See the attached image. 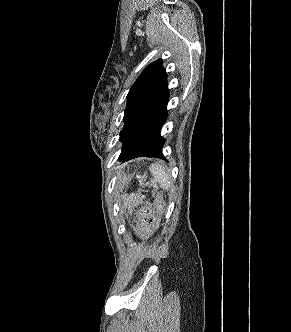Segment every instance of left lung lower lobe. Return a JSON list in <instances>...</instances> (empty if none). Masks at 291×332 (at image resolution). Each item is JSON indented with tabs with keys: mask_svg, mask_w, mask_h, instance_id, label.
I'll return each instance as SVG.
<instances>
[{
	"mask_svg": "<svg viewBox=\"0 0 291 332\" xmlns=\"http://www.w3.org/2000/svg\"><path fill=\"white\" fill-rule=\"evenodd\" d=\"M168 99L169 91L165 88L147 103L140 118L138 130L133 134L129 143L123 146L119 159L124 161L142 155L163 158L164 140L160 131L167 119Z\"/></svg>",
	"mask_w": 291,
	"mask_h": 332,
	"instance_id": "obj_1",
	"label": "left lung lower lobe"
}]
</instances>
